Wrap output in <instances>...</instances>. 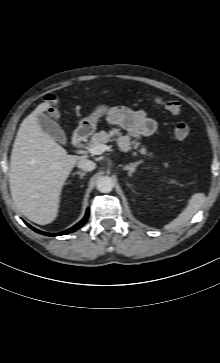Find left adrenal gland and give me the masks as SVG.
I'll use <instances>...</instances> for the list:
<instances>
[{
    "mask_svg": "<svg viewBox=\"0 0 220 363\" xmlns=\"http://www.w3.org/2000/svg\"><path fill=\"white\" fill-rule=\"evenodd\" d=\"M139 165L138 162L131 163L130 165H126L123 167L124 170H127L129 175L131 176L135 171L136 167Z\"/></svg>",
    "mask_w": 220,
    "mask_h": 363,
    "instance_id": "left-adrenal-gland-1",
    "label": "left adrenal gland"
}]
</instances>
